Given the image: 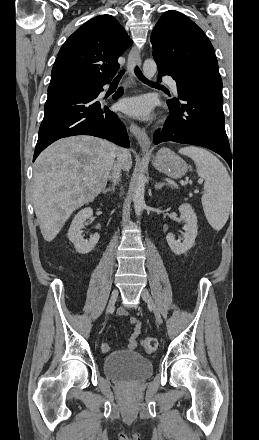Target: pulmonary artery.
Wrapping results in <instances>:
<instances>
[{
  "instance_id": "pulmonary-artery-1",
  "label": "pulmonary artery",
  "mask_w": 259,
  "mask_h": 440,
  "mask_svg": "<svg viewBox=\"0 0 259 440\" xmlns=\"http://www.w3.org/2000/svg\"><path fill=\"white\" fill-rule=\"evenodd\" d=\"M163 81L166 82V83L170 86V88L172 89V91H173L174 93H177V92H178V85H177V82H176L173 78L167 76V77H164V78H163Z\"/></svg>"
}]
</instances>
